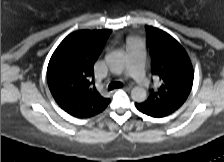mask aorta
I'll list each match as a JSON object with an SVG mask.
<instances>
[{"instance_id": "1", "label": "aorta", "mask_w": 224, "mask_h": 162, "mask_svg": "<svg viewBox=\"0 0 224 162\" xmlns=\"http://www.w3.org/2000/svg\"><path fill=\"white\" fill-rule=\"evenodd\" d=\"M107 65L114 74H121L124 69V55L121 52H113L106 57ZM146 90L142 87H134L131 90L133 101L141 103L146 100Z\"/></svg>"}]
</instances>
